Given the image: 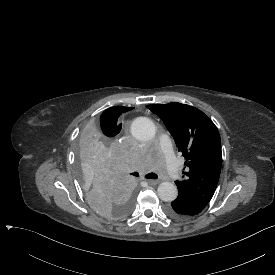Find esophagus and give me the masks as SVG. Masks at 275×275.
I'll use <instances>...</instances> for the list:
<instances>
[{"label":"esophagus","mask_w":275,"mask_h":275,"mask_svg":"<svg viewBox=\"0 0 275 275\" xmlns=\"http://www.w3.org/2000/svg\"><path fill=\"white\" fill-rule=\"evenodd\" d=\"M146 181L150 186H154L159 183L158 180H154V179H146Z\"/></svg>","instance_id":"obj_1"}]
</instances>
